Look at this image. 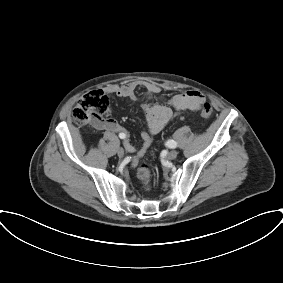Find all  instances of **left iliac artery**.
Instances as JSON below:
<instances>
[{
	"label": "left iliac artery",
	"instance_id": "left-iliac-artery-1",
	"mask_svg": "<svg viewBox=\"0 0 283 283\" xmlns=\"http://www.w3.org/2000/svg\"><path fill=\"white\" fill-rule=\"evenodd\" d=\"M166 145H167L168 147H170V148H176V147H177V142L174 141V140H168V141L166 142Z\"/></svg>",
	"mask_w": 283,
	"mask_h": 283
}]
</instances>
